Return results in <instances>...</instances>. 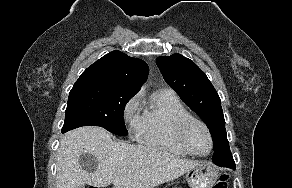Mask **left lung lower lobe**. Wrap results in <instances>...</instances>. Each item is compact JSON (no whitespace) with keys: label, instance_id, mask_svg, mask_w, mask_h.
Returning a JSON list of instances; mask_svg holds the SVG:
<instances>
[{"label":"left lung lower lobe","instance_id":"obj_1","mask_svg":"<svg viewBox=\"0 0 292 188\" xmlns=\"http://www.w3.org/2000/svg\"><path fill=\"white\" fill-rule=\"evenodd\" d=\"M216 165H220V166H234L235 163H234V160L232 157L228 158V161H224V162H217Z\"/></svg>","mask_w":292,"mask_h":188}]
</instances>
